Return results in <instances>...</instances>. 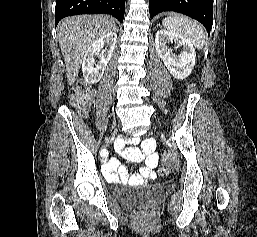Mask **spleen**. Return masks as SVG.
<instances>
[{
  "instance_id": "spleen-1",
  "label": "spleen",
  "mask_w": 257,
  "mask_h": 237,
  "mask_svg": "<svg viewBox=\"0 0 257 237\" xmlns=\"http://www.w3.org/2000/svg\"><path fill=\"white\" fill-rule=\"evenodd\" d=\"M162 24L168 31L187 38L197 49L204 46V31L195 21L184 17H167Z\"/></svg>"
}]
</instances>
